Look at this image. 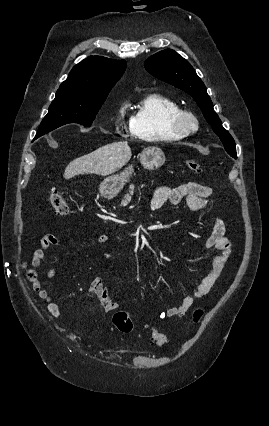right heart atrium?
<instances>
[{
	"mask_svg": "<svg viewBox=\"0 0 269 426\" xmlns=\"http://www.w3.org/2000/svg\"><path fill=\"white\" fill-rule=\"evenodd\" d=\"M126 105L122 104L117 110V117L115 120L116 133L123 135L131 131V120L126 119Z\"/></svg>",
	"mask_w": 269,
	"mask_h": 426,
	"instance_id": "d8ad5b80",
	"label": "right heart atrium"
}]
</instances>
